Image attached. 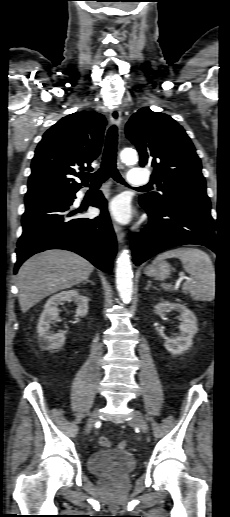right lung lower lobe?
<instances>
[{
	"label": "right lung lower lobe",
	"instance_id": "right-lung-lower-lobe-1",
	"mask_svg": "<svg viewBox=\"0 0 230 517\" xmlns=\"http://www.w3.org/2000/svg\"><path fill=\"white\" fill-rule=\"evenodd\" d=\"M75 193L65 199H44L25 204L23 233L17 243L14 273L30 256L47 249L78 253L102 271L110 272L116 254V237L100 192L91 206L101 209L94 219L77 218L72 211Z\"/></svg>",
	"mask_w": 230,
	"mask_h": 517
}]
</instances>
